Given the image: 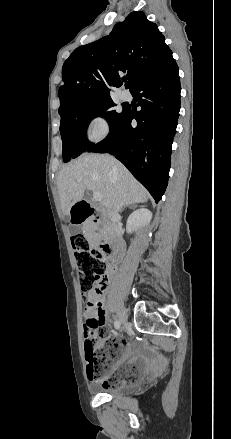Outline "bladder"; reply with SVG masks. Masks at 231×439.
<instances>
[{
	"instance_id": "obj_1",
	"label": "bladder",
	"mask_w": 231,
	"mask_h": 439,
	"mask_svg": "<svg viewBox=\"0 0 231 439\" xmlns=\"http://www.w3.org/2000/svg\"><path fill=\"white\" fill-rule=\"evenodd\" d=\"M124 369L127 374L139 377L143 374L144 366L139 360L132 358L128 364L124 366ZM94 390L98 393L111 396H129L133 394L135 387L132 385H118L115 387L95 386Z\"/></svg>"
}]
</instances>
